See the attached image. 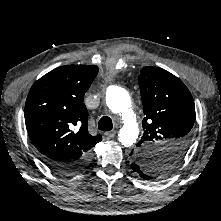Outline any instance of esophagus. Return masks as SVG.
I'll return each mask as SVG.
<instances>
[{
  "label": "esophagus",
  "mask_w": 221,
  "mask_h": 221,
  "mask_svg": "<svg viewBox=\"0 0 221 221\" xmlns=\"http://www.w3.org/2000/svg\"><path fill=\"white\" fill-rule=\"evenodd\" d=\"M116 135V131H109L105 133L107 138H113Z\"/></svg>",
  "instance_id": "obj_1"
}]
</instances>
